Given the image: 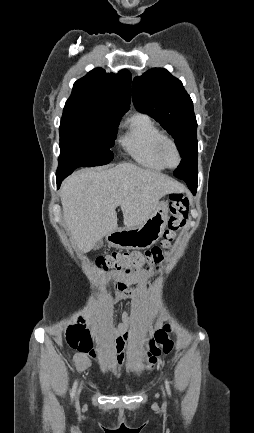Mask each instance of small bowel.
Instances as JSON below:
<instances>
[{
	"label": "small bowel",
	"mask_w": 254,
	"mask_h": 433,
	"mask_svg": "<svg viewBox=\"0 0 254 433\" xmlns=\"http://www.w3.org/2000/svg\"><path fill=\"white\" fill-rule=\"evenodd\" d=\"M134 279H123V278H116L114 281V286L121 291V293L125 297H130L133 295V292L130 290V285L132 282H135ZM166 317V313L163 311L156 322L152 324L153 327L159 325ZM143 327V323L136 315H130L126 312H123L121 314L120 322H118L116 325H113V332L115 335V341L112 346V350L114 354L116 355V364L118 367H121L126 360V348L128 346L129 337L130 335L139 330ZM91 359L98 360V355L93 353L90 354V356L83 354V353H77L74 356V363L76 368L79 371H85L87 370L91 365Z\"/></svg>",
	"instance_id": "small-bowel-1"
}]
</instances>
